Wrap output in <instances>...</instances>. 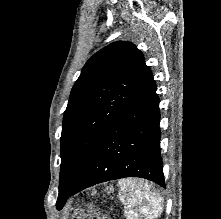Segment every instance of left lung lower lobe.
Wrapping results in <instances>:
<instances>
[{
    "mask_svg": "<svg viewBox=\"0 0 221 219\" xmlns=\"http://www.w3.org/2000/svg\"><path fill=\"white\" fill-rule=\"evenodd\" d=\"M159 121V97L151 76L106 130L70 195L125 177L145 178L165 186Z\"/></svg>",
    "mask_w": 221,
    "mask_h": 219,
    "instance_id": "left-lung-lower-lobe-1",
    "label": "left lung lower lobe"
}]
</instances>
